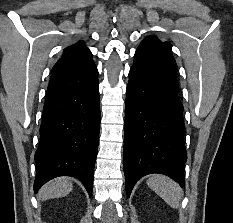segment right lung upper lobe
I'll return each mask as SVG.
<instances>
[{
  "mask_svg": "<svg viewBox=\"0 0 233 223\" xmlns=\"http://www.w3.org/2000/svg\"><path fill=\"white\" fill-rule=\"evenodd\" d=\"M91 57L90 50L79 41L64 49V56L54 65L52 73L84 67L93 62Z\"/></svg>",
  "mask_w": 233,
  "mask_h": 223,
  "instance_id": "right-lung-upper-lobe-1",
  "label": "right lung upper lobe"
}]
</instances>
